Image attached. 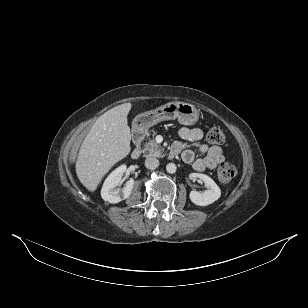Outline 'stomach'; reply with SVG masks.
I'll list each match as a JSON object with an SVG mask.
<instances>
[{
	"label": "stomach",
	"mask_w": 308,
	"mask_h": 308,
	"mask_svg": "<svg viewBox=\"0 0 308 308\" xmlns=\"http://www.w3.org/2000/svg\"><path fill=\"white\" fill-rule=\"evenodd\" d=\"M198 118V110L194 105L177 101L137 115L133 125L137 130L145 131L164 120L177 119L181 124L194 125Z\"/></svg>",
	"instance_id": "1"
}]
</instances>
